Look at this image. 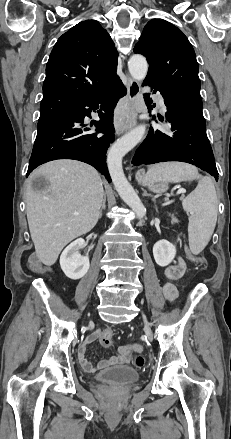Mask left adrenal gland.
Instances as JSON below:
<instances>
[{"instance_id":"a2214340","label":"left adrenal gland","mask_w":231,"mask_h":439,"mask_svg":"<svg viewBox=\"0 0 231 439\" xmlns=\"http://www.w3.org/2000/svg\"><path fill=\"white\" fill-rule=\"evenodd\" d=\"M143 196H150V195H149V194H147V192H146V191H144V193H143ZM152 201H153V202H155V199H154V198H152ZM155 209H157V208H156V206H155Z\"/></svg>"}]
</instances>
